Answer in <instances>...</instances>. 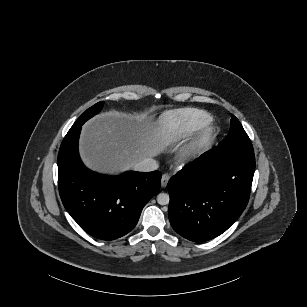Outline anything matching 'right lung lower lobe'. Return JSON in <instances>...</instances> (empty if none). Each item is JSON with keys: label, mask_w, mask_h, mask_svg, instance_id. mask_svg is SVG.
<instances>
[{"label": "right lung lower lobe", "mask_w": 307, "mask_h": 307, "mask_svg": "<svg viewBox=\"0 0 307 307\" xmlns=\"http://www.w3.org/2000/svg\"><path fill=\"white\" fill-rule=\"evenodd\" d=\"M83 124L72 126L58 154V183L62 203L91 236L114 240L137 224L147 202L159 191V171L124 172L105 176L87 169L78 152Z\"/></svg>", "instance_id": "right-lung-lower-lobe-1"}]
</instances>
